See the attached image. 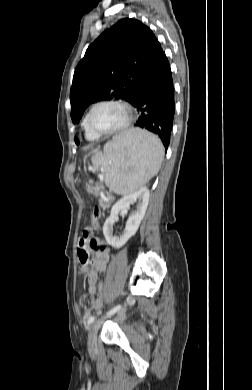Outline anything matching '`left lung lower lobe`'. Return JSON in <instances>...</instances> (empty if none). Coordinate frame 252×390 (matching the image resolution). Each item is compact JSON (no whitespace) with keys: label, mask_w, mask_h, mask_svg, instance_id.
I'll return each mask as SVG.
<instances>
[{"label":"left lung lower lobe","mask_w":252,"mask_h":390,"mask_svg":"<svg viewBox=\"0 0 252 390\" xmlns=\"http://www.w3.org/2000/svg\"><path fill=\"white\" fill-rule=\"evenodd\" d=\"M174 94L170 64L162 51L142 77L131 104L139 112L135 126L157 134L166 150L175 113Z\"/></svg>","instance_id":"0a47b994"}]
</instances>
